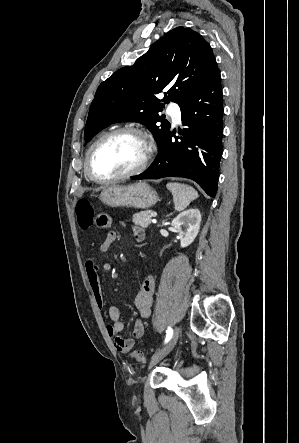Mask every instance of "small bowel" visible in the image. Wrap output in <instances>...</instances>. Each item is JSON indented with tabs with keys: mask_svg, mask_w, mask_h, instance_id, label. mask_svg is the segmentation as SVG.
<instances>
[{
	"mask_svg": "<svg viewBox=\"0 0 299 443\" xmlns=\"http://www.w3.org/2000/svg\"><path fill=\"white\" fill-rule=\"evenodd\" d=\"M114 224L113 218L108 214H100L97 217V227L110 228ZM134 237L136 241H141L144 238V231L142 228L134 227ZM117 233L115 231L108 232L105 240L100 244V251L106 253L109 251L111 245L116 241ZM109 262L99 263L95 259H90L86 263V273L90 289L94 295L96 303L100 309L105 305V299L102 293L100 272H109L111 270ZM156 286V277L149 275L143 281L141 287L136 293L134 304L137 308L138 314L141 318H148L151 315L153 305V297ZM107 314L110 323L106 330L111 338L112 344L118 352L128 353L135 345L136 339L143 335L144 327L140 319L135 323L134 331L131 337L123 338L119 334L124 329V322L121 319L120 311L115 305H109Z\"/></svg>",
	"mask_w": 299,
	"mask_h": 443,
	"instance_id": "small-bowel-1",
	"label": "small bowel"
}]
</instances>
